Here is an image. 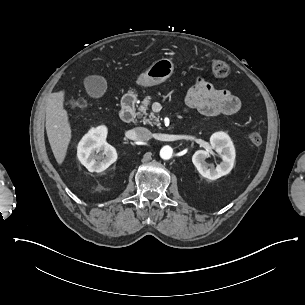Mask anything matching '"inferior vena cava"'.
<instances>
[{"label": "inferior vena cava", "mask_w": 305, "mask_h": 305, "mask_svg": "<svg viewBox=\"0 0 305 305\" xmlns=\"http://www.w3.org/2000/svg\"><path fill=\"white\" fill-rule=\"evenodd\" d=\"M130 138L135 141H146L151 138V132L144 127H136L129 132Z\"/></svg>", "instance_id": "obj_1"}]
</instances>
